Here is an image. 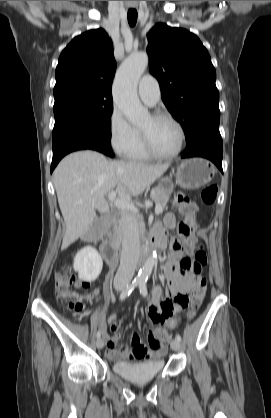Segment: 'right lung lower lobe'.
Wrapping results in <instances>:
<instances>
[{
	"mask_svg": "<svg viewBox=\"0 0 271 418\" xmlns=\"http://www.w3.org/2000/svg\"><path fill=\"white\" fill-rule=\"evenodd\" d=\"M83 149H92L110 157L114 156L110 145V135L103 131H91L84 134L69 136L53 142L51 172L65 155Z\"/></svg>",
	"mask_w": 271,
	"mask_h": 418,
	"instance_id": "obj_1",
	"label": "right lung lower lobe"
}]
</instances>
